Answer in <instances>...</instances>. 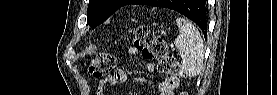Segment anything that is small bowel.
<instances>
[{"label":"small bowel","instance_id":"obj_1","mask_svg":"<svg viewBox=\"0 0 277 95\" xmlns=\"http://www.w3.org/2000/svg\"><path fill=\"white\" fill-rule=\"evenodd\" d=\"M127 54L131 57L141 56L144 59L145 67L150 73L156 72V63L150 59H147L143 54L140 55L139 52L134 47L127 48ZM126 72L122 69L117 70L115 73L107 76L104 80H101L97 84V94L105 95V87L106 85H116L118 83H122L126 80ZM177 77L175 76H167L164 78V81L159 86V94L160 95H174V90L177 85Z\"/></svg>","mask_w":277,"mask_h":95}]
</instances>
